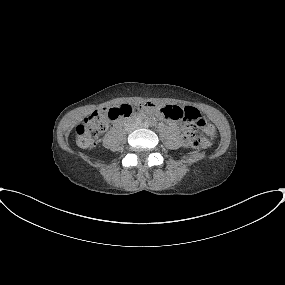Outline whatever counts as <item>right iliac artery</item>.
Here are the masks:
<instances>
[{"instance_id": "82829eb1", "label": "right iliac artery", "mask_w": 285, "mask_h": 285, "mask_svg": "<svg viewBox=\"0 0 285 285\" xmlns=\"http://www.w3.org/2000/svg\"><path fill=\"white\" fill-rule=\"evenodd\" d=\"M140 122H141L140 120L137 121V123H140Z\"/></svg>"}]
</instances>
